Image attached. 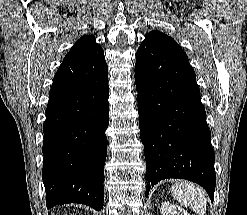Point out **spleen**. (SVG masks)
<instances>
[{
	"instance_id": "obj_1",
	"label": "spleen",
	"mask_w": 247,
	"mask_h": 215,
	"mask_svg": "<svg viewBox=\"0 0 247 215\" xmlns=\"http://www.w3.org/2000/svg\"><path fill=\"white\" fill-rule=\"evenodd\" d=\"M174 198L182 205L189 206L198 215L206 212V193L198 185L189 181H178L172 186Z\"/></svg>"
}]
</instances>
